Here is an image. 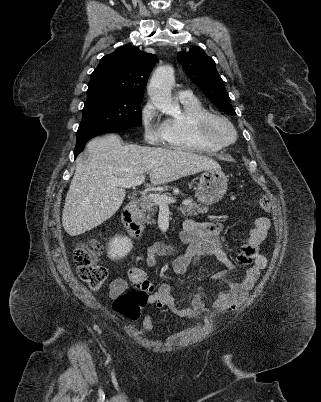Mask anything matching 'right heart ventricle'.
<instances>
[{"instance_id": "e07e8e85", "label": "right heart ventricle", "mask_w": 321, "mask_h": 402, "mask_svg": "<svg viewBox=\"0 0 321 402\" xmlns=\"http://www.w3.org/2000/svg\"><path fill=\"white\" fill-rule=\"evenodd\" d=\"M182 113L163 122L164 142L167 146L193 152L214 153L222 148L205 141L197 130V119L209 109L196 97L180 100Z\"/></svg>"}]
</instances>
